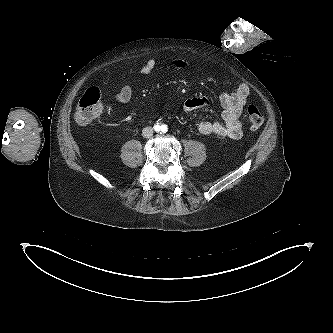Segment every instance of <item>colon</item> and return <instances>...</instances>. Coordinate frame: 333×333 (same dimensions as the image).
<instances>
[{"label":"colon","instance_id":"1","mask_svg":"<svg viewBox=\"0 0 333 333\" xmlns=\"http://www.w3.org/2000/svg\"><path fill=\"white\" fill-rule=\"evenodd\" d=\"M103 108L100 89L96 86L89 87L80 97L75 113V121L80 125L90 124L101 113ZM247 121L252 130H258L264 122L263 115L255 105L247 108Z\"/></svg>","mask_w":333,"mask_h":333}]
</instances>
